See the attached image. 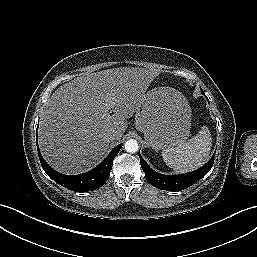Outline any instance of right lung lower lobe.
Returning a JSON list of instances; mask_svg holds the SVG:
<instances>
[{
  "instance_id": "98d812e1",
  "label": "right lung lower lobe",
  "mask_w": 257,
  "mask_h": 257,
  "mask_svg": "<svg viewBox=\"0 0 257 257\" xmlns=\"http://www.w3.org/2000/svg\"><path fill=\"white\" fill-rule=\"evenodd\" d=\"M37 144V135H36ZM119 144L110 152L107 158L93 170L79 175H64L52 169L43 159L37 146L41 166L46 174L58 184L75 192H87L100 188L108 180L113 160L121 149Z\"/></svg>"
}]
</instances>
